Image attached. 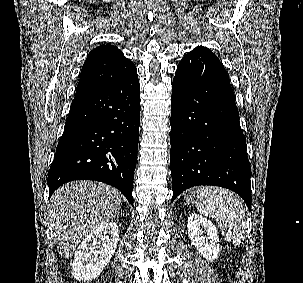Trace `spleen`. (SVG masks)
I'll use <instances>...</instances> for the list:
<instances>
[{"mask_svg":"<svg viewBox=\"0 0 303 283\" xmlns=\"http://www.w3.org/2000/svg\"><path fill=\"white\" fill-rule=\"evenodd\" d=\"M199 212L214 219L224 239L233 245L241 244L246 231L243 205L233 192L224 188L205 186L196 191Z\"/></svg>","mask_w":303,"mask_h":283,"instance_id":"obj_1","label":"spleen"}]
</instances>
